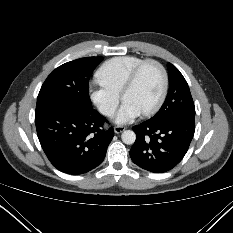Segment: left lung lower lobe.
I'll list each match as a JSON object with an SVG mask.
<instances>
[{"mask_svg":"<svg viewBox=\"0 0 233 233\" xmlns=\"http://www.w3.org/2000/svg\"><path fill=\"white\" fill-rule=\"evenodd\" d=\"M132 161L150 172L174 168L186 154L195 131V116L181 115L161 122L150 119L133 127Z\"/></svg>","mask_w":233,"mask_h":233,"instance_id":"obj_1","label":"left lung lower lobe"}]
</instances>
